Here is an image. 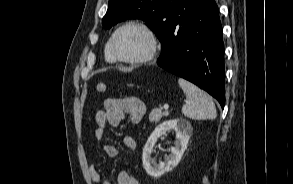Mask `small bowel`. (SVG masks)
<instances>
[{"mask_svg": "<svg viewBox=\"0 0 293 184\" xmlns=\"http://www.w3.org/2000/svg\"><path fill=\"white\" fill-rule=\"evenodd\" d=\"M145 113V104L137 98H108L104 102V109L99 110L95 115L96 129L93 133V139L102 143V149L108 157H115L118 154L117 148L104 142L107 127L119 126L126 115L132 124H139ZM123 144L128 149L136 148L135 139L129 135L123 138ZM88 172L95 184H141L128 170L120 171L114 183L103 178L94 164L89 166Z\"/></svg>", "mask_w": 293, "mask_h": 184, "instance_id": "1", "label": "small bowel"}]
</instances>
